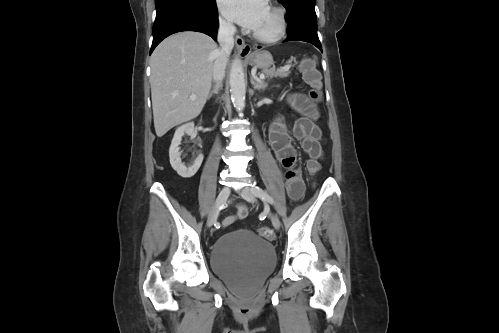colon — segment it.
Instances as JSON below:
<instances>
[{
    "mask_svg": "<svg viewBox=\"0 0 499 333\" xmlns=\"http://www.w3.org/2000/svg\"><path fill=\"white\" fill-rule=\"evenodd\" d=\"M301 71L305 82L310 86L309 98L313 103H319L322 98V78L310 59H304L301 63ZM318 118V116H316ZM321 169L318 160L309 159L306 163V171L310 177L316 176ZM258 232L266 239H273L272 231L265 226L259 227Z\"/></svg>",
    "mask_w": 499,
    "mask_h": 333,
    "instance_id": "1",
    "label": "colon"
}]
</instances>
